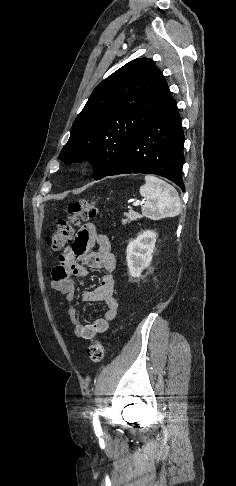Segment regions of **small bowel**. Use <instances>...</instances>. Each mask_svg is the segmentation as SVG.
Listing matches in <instances>:
<instances>
[{
	"label": "small bowel",
	"instance_id": "small-bowel-1",
	"mask_svg": "<svg viewBox=\"0 0 236 486\" xmlns=\"http://www.w3.org/2000/svg\"><path fill=\"white\" fill-rule=\"evenodd\" d=\"M95 244L98 245V250L92 251ZM58 261V265L52 270L51 286L64 296L63 305L72 321L74 334L79 338L92 340L109 329L118 312V302L114 297L115 281L111 274L116 260L111 252L110 241L106 235L97 233L93 223H86L79 230L73 244L61 253ZM88 267L104 270L107 274L94 290L82 292L81 298L84 302H102L106 309L93 322L83 323L77 318L73 306L75 287L72 278L87 276Z\"/></svg>",
	"mask_w": 236,
	"mask_h": 486
}]
</instances>
